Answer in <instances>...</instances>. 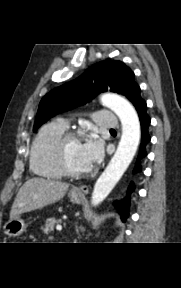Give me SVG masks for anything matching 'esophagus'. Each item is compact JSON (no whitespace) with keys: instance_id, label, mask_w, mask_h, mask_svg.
Instances as JSON below:
<instances>
[{"instance_id":"1","label":"esophagus","mask_w":181,"mask_h":288,"mask_svg":"<svg viewBox=\"0 0 181 288\" xmlns=\"http://www.w3.org/2000/svg\"><path fill=\"white\" fill-rule=\"evenodd\" d=\"M73 192H75L79 195H84V194H87L89 192V187L87 185H82L78 188H74Z\"/></svg>"}]
</instances>
